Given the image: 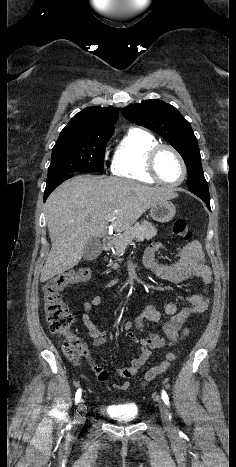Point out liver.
<instances>
[{"mask_svg": "<svg viewBox=\"0 0 236 467\" xmlns=\"http://www.w3.org/2000/svg\"><path fill=\"white\" fill-rule=\"evenodd\" d=\"M177 196L171 188L114 177L80 175L64 182L45 204L52 247L40 281L76 266L89 239L106 236L109 221L115 232L128 230L154 204Z\"/></svg>", "mask_w": 236, "mask_h": 467, "instance_id": "obj_1", "label": "liver"}]
</instances>
